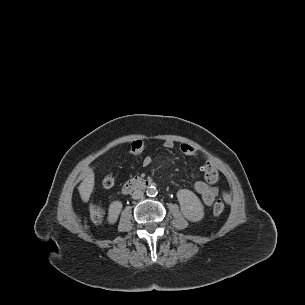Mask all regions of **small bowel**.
Listing matches in <instances>:
<instances>
[{
  "label": "small bowel",
  "mask_w": 305,
  "mask_h": 305,
  "mask_svg": "<svg viewBox=\"0 0 305 305\" xmlns=\"http://www.w3.org/2000/svg\"><path fill=\"white\" fill-rule=\"evenodd\" d=\"M163 146L166 149H173L175 144L173 140L169 139L164 141ZM179 148L181 153L187 157H196L199 155V150L190 144L182 143ZM203 157L205 158V164L203 166L204 180L196 181L194 184V190L201 196L203 203L210 206L213 204L219 193V188L216 186L219 172L214 161L210 157L206 155H203ZM151 163L152 158L150 156L144 157V166H148ZM224 194L228 197L227 193Z\"/></svg>",
  "instance_id": "1"
}]
</instances>
